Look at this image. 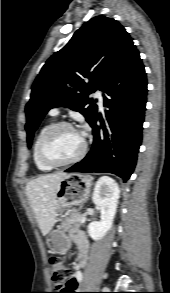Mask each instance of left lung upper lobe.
<instances>
[{"label": "left lung upper lobe", "instance_id": "left-lung-upper-lobe-1", "mask_svg": "<svg viewBox=\"0 0 170 293\" xmlns=\"http://www.w3.org/2000/svg\"><path fill=\"white\" fill-rule=\"evenodd\" d=\"M133 46L132 38L113 18L96 16L78 29L66 46L47 60L32 86L25 109L28 147L51 108L69 107L83 114L90 123L97 105L88 95L103 91Z\"/></svg>", "mask_w": 170, "mask_h": 293}]
</instances>
